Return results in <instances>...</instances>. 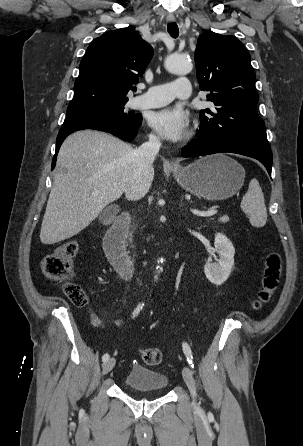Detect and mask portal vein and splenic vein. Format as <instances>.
Segmentation results:
<instances>
[{
    "instance_id": "18ae733b",
    "label": "portal vein and splenic vein",
    "mask_w": 303,
    "mask_h": 446,
    "mask_svg": "<svg viewBox=\"0 0 303 446\" xmlns=\"http://www.w3.org/2000/svg\"><path fill=\"white\" fill-rule=\"evenodd\" d=\"M99 193H100L99 190H95V191L92 192V195H93V196H96V195H98ZM191 212H192L194 215H196V216H200V217H210V216L215 215V214L217 213V210H216V209H211V210H208V211H199V210H196V209H191Z\"/></svg>"
}]
</instances>
